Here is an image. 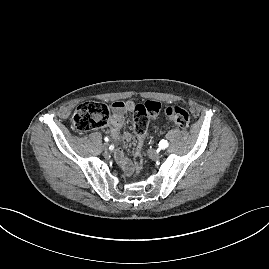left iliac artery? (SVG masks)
Wrapping results in <instances>:
<instances>
[{"mask_svg":"<svg viewBox=\"0 0 269 269\" xmlns=\"http://www.w3.org/2000/svg\"><path fill=\"white\" fill-rule=\"evenodd\" d=\"M168 142L167 140H161L160 143H159V146L162 148V149H165L168 147Z\"/></svg>","mask_w":269,"mask_h":269,"instance_id":"left-iliac-artery-1","label":"left iliac artery"}]
</instances>
